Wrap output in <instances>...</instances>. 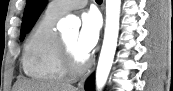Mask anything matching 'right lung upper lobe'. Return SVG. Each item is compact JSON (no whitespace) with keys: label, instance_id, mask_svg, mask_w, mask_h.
Masks as SVG:
<instances>
[{"label":"right lung upper lobe","instance_id":"cb5924a9","mask_svg":"<svg viewBox=\"0 0 173 91\" xmlns=\"http://www.w3.org/2000/svg\"><path fill=\"white\" fill-rule=\"evenodd\" d=\"M46 4V1L45 0H42L40 1V4L38 5L34 15H33V18H32V21H31V24H30V28L34 25V23L36 22V20L38 19L41 11L43 10L44 6Z\"/></svg>","mask_w":173,"mask_h":91}]
</instances>
